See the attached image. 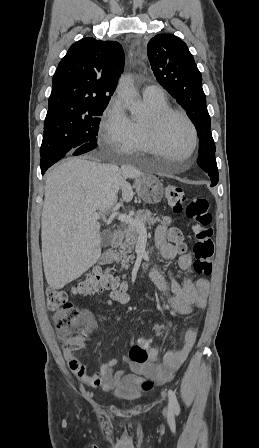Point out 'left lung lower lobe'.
<instances>
[{"mask_svg":"<svg viewBox=\"0 0 259 448\" xmlns=\"http://www.w3.org/2000/svg\"><path fill=\"white\" fill-rule=\"evenodd\" d=\"M197 163L206 173H208L212 182L211 186H215L219 180L215 151H209L200 155Z\"/></svg>","mask_w":259,"mask_h":448,"instance_id":"left-lung-lower-lobe-1","label":"left lung lower lobe"}]
</instances>
